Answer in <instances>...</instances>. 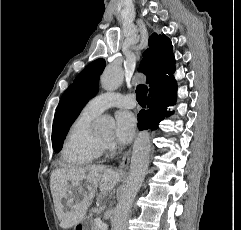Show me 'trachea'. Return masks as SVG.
<instances>
[{"instance_id": "trachea-1", "label": "trachea", "mask_w": 241, "mask_h": 230, "mask_svg": "<svg viewBox=\"0 0 241 230\" xmlns=\"http://www.w3.org/2000/svg\"><path fill=\"white\" fill-rule=\"evenodd\" d=\"M148 92V88L146 85L140 84L136 88V96L138 103H145L146 102V95Z\"/></svg>"}]
</instances>
